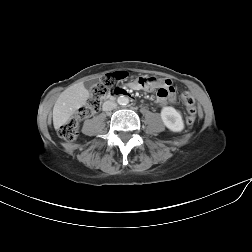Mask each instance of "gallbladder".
<instances>
[{"mask_svg": "<svg viewBox=\"0 0 252 252\" xmlns=\"http://www.w3.org/2000/svg\"><path fill=\"white\" fill-rule=\"evenodd\" d=\"M84 85H85L86 88H90L91 87V83H88V82H86Z\"/></svg>", "mask_w": 252, "mask_h": 252, "instance_id": "gallbladder-1", "label": "gallbladder"}]
</instances>
